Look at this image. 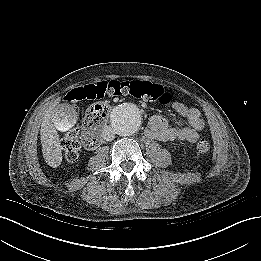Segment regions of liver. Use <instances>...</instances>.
Listing matches in <instances>:
<instances>
[{"mask_svg":"<svg viewBox=\"0 0 261 261\" xmlns=\"http://www.w3.org/2000/svg\"><path fill=\"white\" fill-rule=\"evenodd\" d=\"M61 98H56L47 108L40 129V140L42 144V153L45 162L57 168L62 162V147L59 141L57 130L67 131L76 123L77 116H58L56 107L59 105Z\"/></svg>","mask_w":261,"mask_h":261,"instance_id":"liver-1","label":"liver"}]
</instances>
